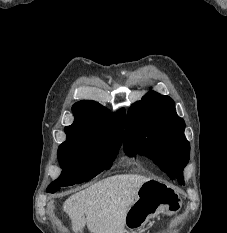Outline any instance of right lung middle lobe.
Returning <instances> with one entry per match:
<instances>
[{"label": "right lung middle lobe", "instance_id": "dd1d6c3e", "mask_svg": "<svg viewBox=\"0 0 227 233\" xmlns=\"http://www.w3.org/2000/svg\"><path fill=\"white\" fill-rule=\"evenodd\" d=\"M121 139L111 137L100 141L68 139L58 149L61 176L53 181L47 192L55 193L62 186L79 184L109 169L121 146Z\"/></svg>", "mask_w": 227, "mask_h": 233}]
</instances>
